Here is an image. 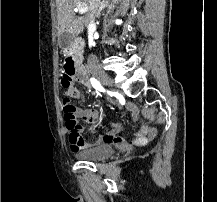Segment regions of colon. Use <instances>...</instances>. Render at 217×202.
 Here are the masks:
<instances>
[{
    "mask_svg": "<svg viewBox=\"0 0 217 202\" xmlns=\"http://www.w3.org/2000/svg\"><path fill=\"white\" fill-rule=\"evenodd\" d=\"M61 95L63 96V111L62 117L65 118V122L67 125V128L69 130H76L79 131L81 129V125L78 123V121L75 118L74 115V106L70 103L69 91H62Z\"/></svg>",
    "mask_w": 217,
    "mask_h": 202,
    "instance_id": "1",
    "label": "colon"
}]
</instances>
